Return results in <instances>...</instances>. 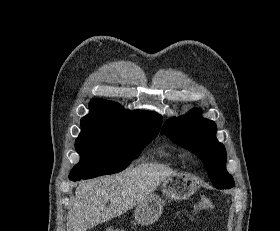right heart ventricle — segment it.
<instances>
[{
	"mask_svg": "<svg viewBox=\"0 0 280 231\" xmlns=\"http://www.w3.org/2000/svg\"><path fill=\"white\" fill-rule=\"evenodd\" d=\"M157 150L172 163H180L184 158L183 152L174 146L162 144L158 146Z\"/></svg>",
	"mask_w": 280,
	"mask_h": 231,
	"instance_id": "e07e8e85",
	"label": "right heart ventricle"
}]
</instances>
